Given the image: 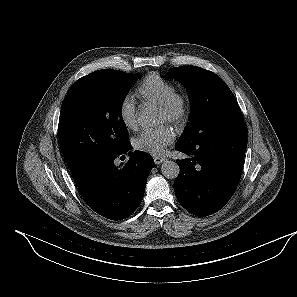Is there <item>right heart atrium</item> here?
Segmentation results:
<instances>
[{"mask_svg": "<svg viewBox=\"0 0 297 297\" xmlns=\"http://www.w3.org/2000/svg\"><path fill=\"white\" fill-rule=\"evenodd\" d=\"M118 115L126 128L130 130L137 128L138 111L134 100L130 96H125L121 99L118 106Z\"/></svg>", "mask_w": 297, "mask_h": 297, "instance_id": "obj_1", "label": "right heart atrium"}]
</instances>
